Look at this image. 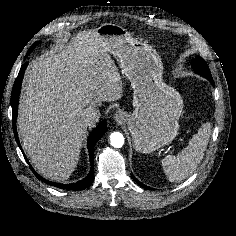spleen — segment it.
Segmentation results:
<instances>
[{"label":"spleen","mask_w":236,"mask_h":236,"mask_svg":"<svg viewBox=\"0 0 236 236\" xmlns=\"http://www.w3.org/2000/svg\"><path fill=\"white\" fill-rule=\"evenodd\" d=\"M211 125L205 123L194 135L189 145L178 156L168 155L162 160V166L170 182L181 181L193 173L206 151L210 138Z\"/></svg>","instance_id":"spleen-1"}]
</instances>
